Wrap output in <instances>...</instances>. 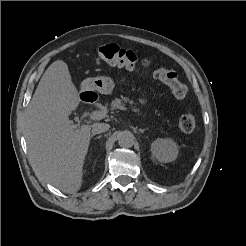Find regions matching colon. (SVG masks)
<instances>
[{"label": "colon", "instance_id": "5ec220e1", "mask_svg": "<svg viewBox=\"0 0 246 246\" xmlns=\"http://www.w3.org/2000/svg\"><path fill=\"white\" fill-rule=\"evenodd\" d=\"M97 59L107 64L122 67L126 69H134L137 67V56L130 50L120 48L116 44H106L99 48ZM154 77L166 84L172 94L177 99H183L187 94L186 86L178 79L177 74L168 68L160 67L154 71ZM196 127V119L194 115L187 111L178 120V128L190 133Z\"/></svg>", "mask_w": 246, "mask_h": 246}]
</instances>
